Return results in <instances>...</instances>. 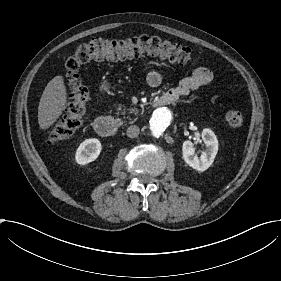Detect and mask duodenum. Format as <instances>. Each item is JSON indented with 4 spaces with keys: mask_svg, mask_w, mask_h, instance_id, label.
Wrapping results in <instances>:
<instances>
[{
    "mask_svg": "<svg viewBox=\"0 0 281 281\" xmlns=\"http://www.w3.org/2000/svg\"><path fill=\"white\" fill-rule=\"evenodd\" d=\"M168 104H170V101L164 96H160L152 102L153 106H164ZM94 127L101 136L105 137L113 136L118 131L117 123L114 119L107 116L97 117L94 121Z\"/></svg>",
    "mask_w": 281,
    "mask_h": 281,
    "instance_id": "1",
    "label": "duodenum"
}]
</instances>
